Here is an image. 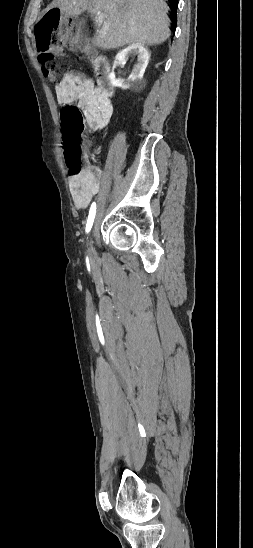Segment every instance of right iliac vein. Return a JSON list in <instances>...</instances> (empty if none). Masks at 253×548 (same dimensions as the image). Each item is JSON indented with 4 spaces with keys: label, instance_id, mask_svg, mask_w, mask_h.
<instances>
[{
    "label": "right iliac vein",
    "instance_id": "63e3f726",
    "mask_svg": "<svg viewBox=\"0 0 253 548\" xmlns=\"http://www.w3.org/2000/svg\"><path fill=\"white\" fill-rule=\"evenodd\" d=\"M87 248H88V253H89V256L90 258H93L94 255H95V251H94V247H93V240L90 236V239L87 240Z\"/></svg>",
    "mask_w": 253,
    "mask_h": 548
}]
</instances>
